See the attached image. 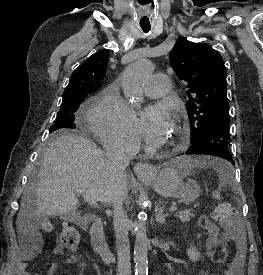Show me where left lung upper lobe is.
<instances>
[{
  "mask_svg": "<svg viewBox=\"0 0 263 275\" xmlns=\"http://www.w3.org/2000/svg\"><path fill=\"white\" fill-rule=\"evenodd\" d=\"M176 75L186 84V108L191 141L217 121L230 120L226 68L221 55L210 45L180 38L170 52Z\"/></svg>",
  "mask_w": 263,
  "mask_h": 275,
  "instance_id": "5c2ea615",
  "label": "left lung upper lobe"
}]
</instances>
